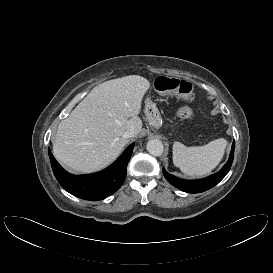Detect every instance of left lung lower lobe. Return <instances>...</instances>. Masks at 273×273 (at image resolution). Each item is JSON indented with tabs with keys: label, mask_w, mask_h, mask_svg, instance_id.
<instances>
[{
	"label": "left lung lower lobe",
	"mask_w": 273,
	"mask_h": 273,
	"mask_svg": "<svg viewBox=\"0 0 273 273\" xmlns=\"http://www.w3.org/2000/svg\"><path fill=\"white\" fill-rule=\"evenodd\" d=\"M234 148H235V141L232 144L231 153H230L227 163L223 166V168L219 172H217L207 178L199 179V180H183V179L177 178V177L169 174L168 172H166V170L164 168H163V174H164L165 178L172 185H174L176 188H178L184 192H188V193L204 192V191L212 188L213 186H215L217 183H219L226 176V174L229 172V170L231 168V164L234 159Z\"/></svg>",
	"instance_id": "left-lung-lower-lobe-1"
}]
</instances>
